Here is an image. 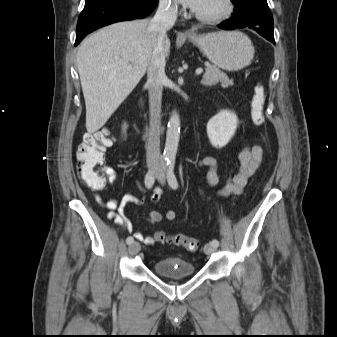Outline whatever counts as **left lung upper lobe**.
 <instances>
[{
	"instance_id": "obj_1",
	"label": "left lung upper lobe",
	"mask_w": 337,
	"mask_h": 337,
	"mask_svg": "<svg viewBox=\"0 0 337 337\" xmlns=\"http://www.w3.org/2000/svg\"><path fill=\"white\" fill-rule=\"evenodd\" d=\"M235 6L234 15L252 9H261L264 13L272 15L267 0H231Z\"/></svg>"
}]
</instances>
